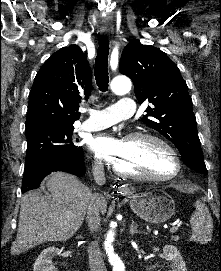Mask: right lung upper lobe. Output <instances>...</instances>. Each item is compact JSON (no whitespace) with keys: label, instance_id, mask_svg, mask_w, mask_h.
Here are the masks:
<instances>
[{"label":"right lung upper lobe","instance_id":"cb5924a9","mask_svg":"<svg viewBox=\"0 0 221 271\" xmlns=\"http://www.w3.org/2000/svg\"><path fill=\"white\" fill-rule=\"evenodd\" d=\"M92 75L77 45L55 52L38 71L29 97L26 131L46 125L73 126L81 95L89 97Z\"/></svg>","mask_w":221,"mask_h":271}]
</instances>
